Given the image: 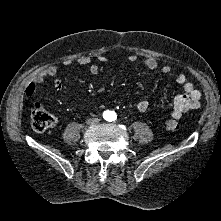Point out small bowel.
<instances>
[{"label": "small bowel", "mask_w": 221, "mask_h": 221, "mask_svg": "<svg viewBox=\"0 0 221 221\" xmlns=\"http://www.w3.org/2000/svg\"><path fill=\"white\" fill-rule=\"evenodd\" d=\"M99 60L103 63L107 62V58L105 56H99ZM130 62H134L136 60L135 56H130L128 58ZM78 63L80 65L86 66L89 65V71L92 74H97L99 72V66L97 64H90L91 59L87 56H82L78 59ZM142 63L145 68L149 70L160 69L163 74L170 75L172 74V69L169 65H159L156 59L153 57H145L142 60ZM66 65L71 64V60L65 61ZM58 73V68L55 65H50L41 72H39L35 78L26 86L25 95L33 96L37 90V88L41 85H49L56 91L62 90V82L58 79L49 81L50 78H53ZM175 81L177 84L181 85L184 93L177 95L172 103L171 108L173 111V116L180 117L185 112L195 109L199 106V101L201 99L200 91L195 87L194 83L189 81L187 76L178 72L175 74ZM40 106L39 103H35L34 107ZM149 108V103L146 100H141L137 103V109L141 112L147 111Z\"/></svg>", "instance_id": "c3829d8e"}]
</instances>
